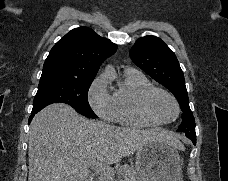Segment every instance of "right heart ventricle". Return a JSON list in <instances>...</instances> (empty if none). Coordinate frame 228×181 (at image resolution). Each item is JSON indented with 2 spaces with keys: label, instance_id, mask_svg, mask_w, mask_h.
<instances>
[{
  "label": "right heart ventricle",
  "instance_id": "e07e8e85",
  "mask_svg": "<svg viewBox=\"0 0 228 181\" xmlns=\"http://www.w3.org/2000/svg\"><path fill=\"white\" fill-rule=\"evenodd\" d=\"M112 82L116 83L112 95L114 120L128 125H150V122L145 120L138 111L141 94L153 87L148 78L129 70L112 69L105 84Z\"/></svg>",
  "mask_w": 228,
  "mask_h": 181
}]
</instances>
